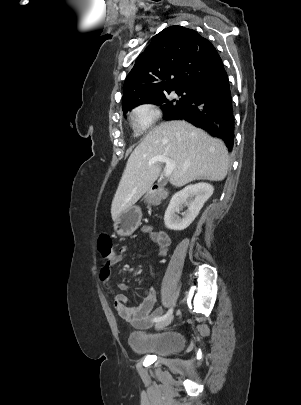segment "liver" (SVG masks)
<instances>
[{
  "label": "liver",
  "instance_id": "6515ba94",
  "mask_svg": "<svg viewBox=\"0 0 301 405\" xmlns=\"http://www.w3.org/2000/svg\"><path fill=\"white\" fill-rule=\"evenodd\" d=\"M157 155L175 162L170 183L181 187L194 180L222 181L228 172L229 156L224 143L186 121L164 122L153 128L131 153L111 205L113 221L149 190L161 172Z\"/></svg>",
  "mask_w": 301,
  "mask_h": 405
}]
</instances>
